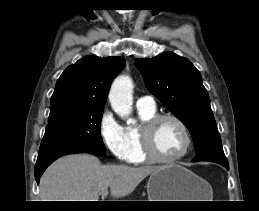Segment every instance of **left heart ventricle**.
Wrapping results in <instances>:
<instances>
[{"label":"left heart ventricle","instance_id":"1","mask_svg":"<svg viewBox=\"0 0 259 211\" xmlns=\"http://www.w3.org/2000/svg\"><path fill=\"white\" fill-rule=\"evenodd\" d=\"M153 145L159 156L171 158L183 150L185 137L174 121L164 120L154 130Z\"/></svg>","mask_w":259,"mask_h":211}]
</instances>
